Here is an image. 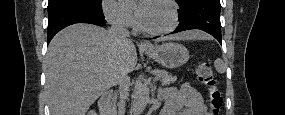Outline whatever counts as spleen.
Segmentation results:
<instances>
[{
  "label": "spleen",
  "instance_id": "spleen-1",
  "mask_svg": "<svg viewBox=\"0 0 285 115\" xmlns=\"http://www.w3.org/2000/svg\"><path fill=\"white\" fill-rule=\"evenodd\" d=\"M214 66H215V69L217 70V72L219 73H224L225 70H226V67L224 65V62L222 59L220 58H217L214 62Z\"/></svg>",
  "mask_w": 285,
  "mask_h": 115
}]
</instances>
